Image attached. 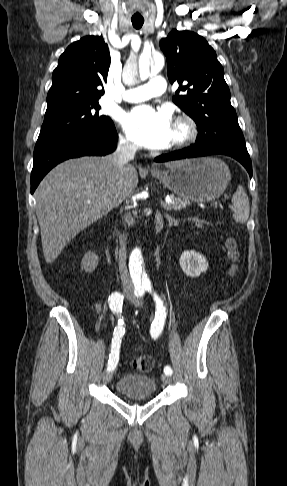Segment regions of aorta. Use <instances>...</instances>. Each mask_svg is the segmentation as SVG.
Returning a JSON list of instances; mask_svg holds the SVG:
<instances>
[{
  "instance_id": "obj_1",
  "label": "aorta",
  "mask_w": 287,
  "mask_h": 486,
  "mask_svg": "<svg viewBox=\"0 0 287 486\" xmlns=\"http://www.w3.org/2000/svg\"><path fill=\"white\" fill-rule=\"evenodd\" d=\"M164 66V58L161 56H157L154 59V64L151 66L150 69V63L149 61L143 62L139 66V74L141 80H145L150 73L156 74L158 73ZM142 254L141 250L139 248H135L129 258V268H130V273L131 276L134 280L142 283L144 286H150V280L148 279L147 275L145 274L143 268H142Z\"/></svg>"
}]
</instances>
